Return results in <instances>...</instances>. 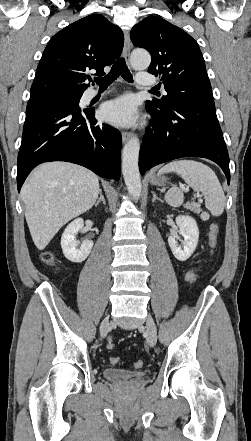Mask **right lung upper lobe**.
I'll return each mask as SVG.
<instances>
[{"instance_id":"right-lung-upper-lobe-1","label":"right lung upper lobe","mask_w":251,"mask_h":441,"mask_svg":"<svg viewBox=\"0 0 251 441\" xmlns=\"http://www.w3.org/2000/svg\"><path fill=\"white\" fill-rule=\"evenodd\" d=\"M124 44L121 29L103 15L84 17L56 33L48 42L36 70L30 99L54 95H82L89 87L85 71L103 68L120 55Z\"/></svg>"}]
</instances>
